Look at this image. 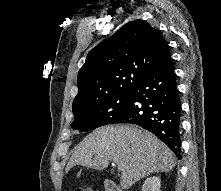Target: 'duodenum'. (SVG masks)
I'll return each instance as SVG.
<instances>
[{"mask_svg":"<svg viewBox=\"0 0 221 191\" xmlns=\"http://www.w3.org/2000/svg\"><path fill=\"white\" fill-rule=\"evenodd\" d=\"M103 186L105 191H122L121 187L111 179H105Z\"/></svg>","mask_w":221,"mask_h":191,"instance_id":"1","label":"duodenum"}]
</instances>
